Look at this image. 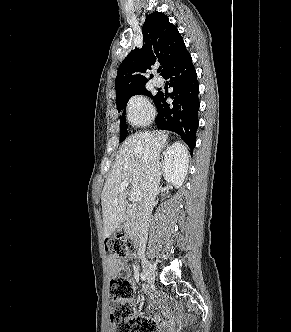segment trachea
I'll use <instances>...</instances> for the list:
<instances>
[{
	"label": "trachea",
	"mask_w": 291,
	"mask_h": 332,
	"mask_svg": "<svg viewBox=\"0 0 291 332\" xmlns=\"http://www.w3.org/2000/svg\"><path fill=\"white\" fill-rule=\"evenodd\" d=\"M158 71L160 72V71H161V68H159Z\"/></svg>",
	"instance_id": "trachea-1"
}]
</instances>
